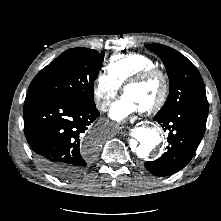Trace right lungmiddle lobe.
<instances>
[{"mask_svg": "<svg viewBox=\"0 0 221 221\" xmlns=\"http://www.w3.org/2000/svg\"><path fill=\"white\" fill-rule=\"evenodd\" d=\"M102 60L103 54L96 50L68 49L35 76L28 92L44 91L95 107L93 86Z\"/></svg>", "mask_w": 221, "mask_h": 221, "instance_id": "right-lung-middle-lobe-1", "label": "right lung middle lobe"}]
</instances>
